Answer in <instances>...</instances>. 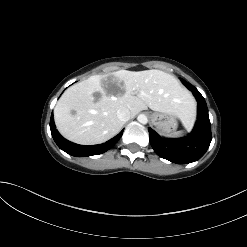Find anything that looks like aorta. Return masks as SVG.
Instances as JSON below:
<instances>
[{
  "mask_svg": "<svg viewBox=\"0 0 247 247\" xmlns=\"http://www.w3.org/2000/svg\"><path fill=\"white\" fill-rule=\"evenodd\" d=\"M137 120L141 124H147V122H148V118L144 114H139L138 117H137Z\"/></svg>",
  "mask_w": 247,
  "mask_h": 247,
  "instance_id": "obj_1",
  "label": "aorta"
}]
</instances>
